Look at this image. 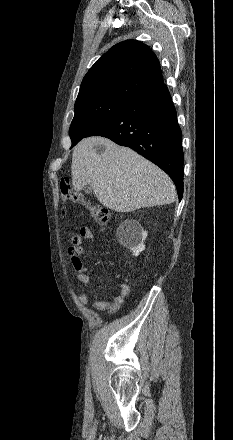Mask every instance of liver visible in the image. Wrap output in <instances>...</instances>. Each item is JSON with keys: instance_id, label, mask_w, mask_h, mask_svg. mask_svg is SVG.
Wrapping results in <instances>:
<instances>
[{"instance_id": "liver-1", "label": "liver", "mask_w": 233, "mask_h": 440, "mask_svg": "<svg viewBox=\"0 0 233 440\" xmlns=\"http://www.w3.org/2000/svg\"><path fill=\"white\" fill-rule=\"evenodd\" d=\"M103 146V153L95 147ZM75 191L90 185L98 201L116 212L171 204L176 189L170 177L135 151L104 137L81 140L72 154Z\"/></svg>"}]
</instances>
